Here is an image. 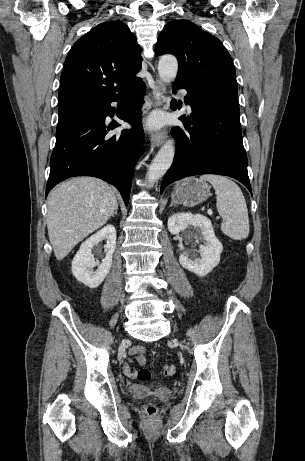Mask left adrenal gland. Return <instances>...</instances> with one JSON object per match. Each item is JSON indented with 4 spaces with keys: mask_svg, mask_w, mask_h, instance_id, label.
<instances>
[{
    "mask_svg": "<svg viewBox=\"0 0 305 461\" xmlns=\"http://www.w3.org/2000/svg\"><path fill=\"white\" fill-rule=\"evenodd\" d=\"M172 206H175V205L173 204V202H171V204H170V207H172Z\"/></svg>",
    "mask_w": 305,
    "mask_h": 461,
    "instance_id": "obj_1",
    "label": "left adrenal gland"
}]
</instances>
